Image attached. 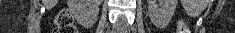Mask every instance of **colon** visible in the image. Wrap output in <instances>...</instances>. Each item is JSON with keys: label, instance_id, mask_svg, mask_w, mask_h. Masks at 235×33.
Here are the masks:
<instances>
[{"label": "colon", "instance_id": "1", "mask_svg": "<svg viewBox=\"0 0 235 33\" xmlns=\"http://www.w3.org/2000/svg\"><path fill=\"white\" fill-rule=\"evenodd\" d=\"M55 33H78V29L74 24L73 17L68 10H61L55 19ZM181 33H187L182 30Z\"/></svg>", "mask_w": 235, "mask_h": 33}]
</instances>
